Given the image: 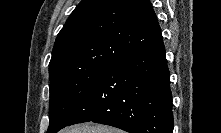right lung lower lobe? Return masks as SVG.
<instances>
[{"instance_id":"98d812e1","label":"right lung lower lobe","mask_w":221,"mask_h":133,"mask_svg":"<svg viewBox=\"0 0 221 133\" xmlns=\"http://www.w3.org/2000/svg\"><path fill=\"white\" fill-rule=\"evenodd\" d=\"M92 121L129 133H172V93L163 42L110 65L68 123ZM67 125V126H68Z\"/></svg>"}]
</instances>
